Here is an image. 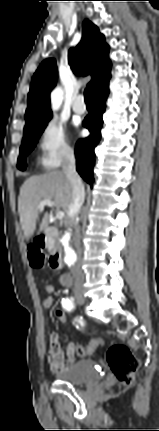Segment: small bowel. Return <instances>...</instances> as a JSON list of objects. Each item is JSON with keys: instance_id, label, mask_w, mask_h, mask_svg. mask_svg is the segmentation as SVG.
I'll return each mask as SVG.
<instances>
[{"instance_id": "obj_1", "label": "small bowel", "mask_w": 159, "mask_h": 431, "mask_svg": "<svg viewBox=\"0 0 159 431\" xmlns=\"http://www.w3.org/2000/svg\"><path fill=\"white\" fill-rule=\"evenodd\" d=\"M54 290H55L54 285L50 283H47L45 285V291L47 293H53ZM48 297L50 296H47L43 300V306L46 309H48L46 307V302L48 301L47 300ZM77 348H78V344L71 343L68 345L66 351H63L59 334L52 333L50 335V347L47 352V359L51 369L54 371H61L71 366L75 362L76 357L78 356Z\"/></svg>"}]
</instances>
